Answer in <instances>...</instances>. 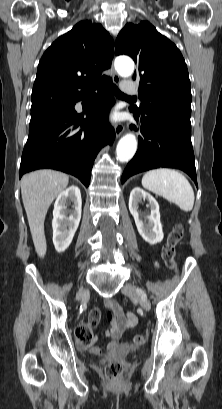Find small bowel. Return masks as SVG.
<instances>
[{"instance_id":"obj_1","label":"small bowel","mask_w":222,"mask_h":409,"mask_svg":"<svg viewBox=\"0 0 222 409\" xmlns=\"http://www.w3.org/2000/svg\"><path fill=\"white\" fill-rule=\"evenodd\" d=\"M106 306L112 310L115 315V320L112 323L110 329L105 331V335L111 339V341L104 347L95 346L96 336L93 334V339L90 344L84 345L82 347L88 350L93 355H100L103 352L112 350L118 345L125 332L136 325L137 318L132 312L125 311L122 306L115 300H106ZM100 320V311L97 308L91 310L88 318V326L93 330L97 327Z\"/></svg>"}]
</instances>
